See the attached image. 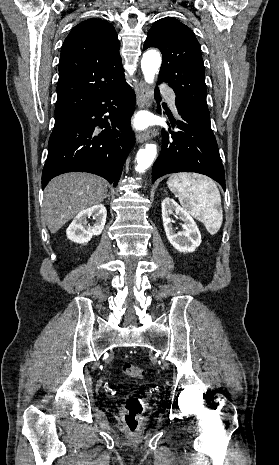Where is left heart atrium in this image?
I'll return each instance as SVG.
<instances>
[{
    "label": "left heart atrium",
    "mask_w": 279,
    "mask_h": 465,
    "mask_svg": "<svg viewBox=\"0 0 279 465\" xmlns=\"http://www.w3.org/2000/svg\"><path fill=\"white\" fill-rule=\"evenodd\" d=\"M137 127H144L146 125V121L143 118H139L136 121Z\"/></svg>",
    "instance_id": "1"
}]
</instances>
